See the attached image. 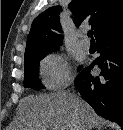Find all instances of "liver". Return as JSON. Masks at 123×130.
Returning <instances> with one entry per match:
<instances>
[{
  "label": "liver",
  "instance_id": "6515ba94",
  "mask_svg": "<svg viewBox=\"0 0 123 130\" xmlns=\"http://www.w3.org/2000/svg\"><path fill=\"white\" fill-rule=\"evenodd\" d=\"M101 130L105 120L84 100L68 92L29 95L20 100L10 130Z\"/></svg>",
  "mask_w": 123,
  "mask_h": 130
}]
</instances>
